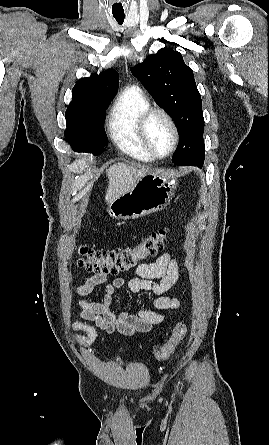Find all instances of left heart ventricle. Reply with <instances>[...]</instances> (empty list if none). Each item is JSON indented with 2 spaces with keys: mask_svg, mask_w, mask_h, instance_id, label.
I'll use <instances>...</instances> for the list:
<instances>
[{
  "mask_svg": "<svg viewBox=\"0 0 269 445\" xmlns=\"http://www.w3.org/2000/svg\"><path fill=\"white\" fill-rule=\"evenodd\" d=\"M147 136L154 150L166 154L172 146L173 133L168 121L161 115H154L147 126Z\"/></svg>",
  "mask_w": 269,
  "mask_h": 445,
  "instance_id": "obj_1",
  "label": "left heart ventricle"
}]
</instances>
